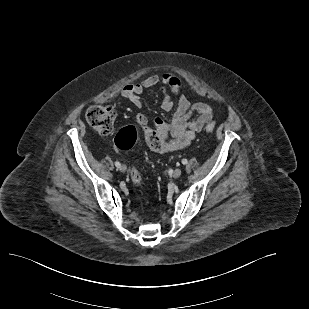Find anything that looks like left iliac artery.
Returning a JSON list of instances; mask_svg holds the SVG:
<instances>
[{"label":"left iliac artery","instance_id":"1","mask_svg":"<svg viewBox=\"0 0 309 309\" xmlns=\"http://www.w3.org/2000/svg\"><path fill=\"white\" fill-rule=\"evenodd\" d=\"M187 162H188L187 159H182V164L185 165V164H187Z\"/></svg>","mask_w":309,"mask_h":309}]
</instances>
